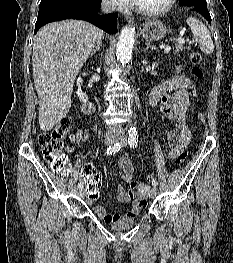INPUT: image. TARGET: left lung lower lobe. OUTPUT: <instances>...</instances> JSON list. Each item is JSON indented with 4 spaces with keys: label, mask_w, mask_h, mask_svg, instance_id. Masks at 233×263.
<instances>
[{
    "label": "left lung lower lobe",
    "mask_w": 233,
    "mask_h": 263,
    "mask_svg": "<svg viewBox=\"0 0 233 263\" xmlns=\"http://www.w3.org/2000/svg\"><path fill=\"white\" fill-rule=\"evenodd\" d=\"M188 8L201 13L203 17L211 24V16L207 9V6H193Z\"/></svg>",
    "instance_id": "1"
}]
</instances>
